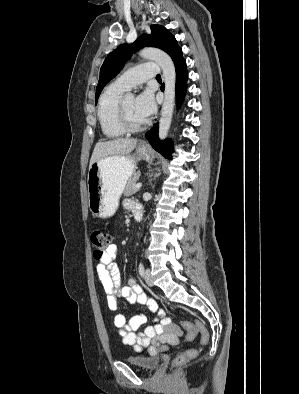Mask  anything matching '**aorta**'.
I'll return each mask as SVG.
<instances>
[{
  "label": "aorta",
  "mask_w": 299,
  "mask_h": 394,
  "mask_svg": "<svg viewBox=\"0 0 299 394\" xmlns=\"http://www.w3.org/2000/svg\"><path fill=\"white\" fill-rule=\"evenodd\" d=\"M140 56L144 59L155 61L162 69L165 84L164 101L161 109L159 122V138L165 139L172 121L175 103L176 71L171 57L164 51L157 48H145L140 51Z\"/></svg>",
  "instance_id": "obj_1"
}]
</instances>
